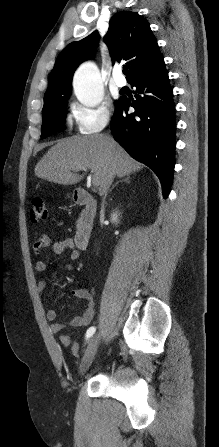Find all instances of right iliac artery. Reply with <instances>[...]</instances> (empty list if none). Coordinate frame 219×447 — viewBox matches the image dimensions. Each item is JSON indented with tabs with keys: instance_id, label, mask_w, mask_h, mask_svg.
<instances>
[{
	"instance_id": "82829eb1",
	"label": "right iliac artery",
	"mask_w": 219,
	"mask_h": 447,
	"mask_svg": "<svg viewBox=\"0 0 219 447\" xmlns=\"http://www.w3.org/2000/svg\"><path fill=\"white\" fill-rule=\"evenodd\" d=\"M96 331L94 326L90 327L86 332V340H88Z\"/></svg>"
}]
</instances>
